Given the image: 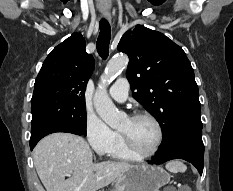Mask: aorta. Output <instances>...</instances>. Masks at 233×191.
<instances>
[{"mask_svg":"<svg viewBox=\"0 0 233 191\" xmlns=\"http://www.w3.org/2000/svg\"><path fill=\"white\" fill-rule=\"evenodd\" d=\"M128 56L118 55L111 59L106 67L105 73L101 77L100 84L94 96V107L100 118L111 128H117L120 122L125 118V114L118 111L109 98L107 86L112 77L123 70L128 64Z\"/></svg>","mask_w":233,"mask_h":191,"instance_id":"1","label":"aorta"}]
</instances>
